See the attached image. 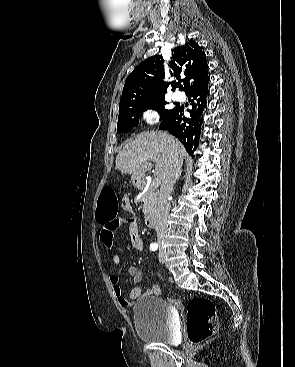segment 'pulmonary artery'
<instances>
[{
    "instance_id": "pulmonary-artery-1",
    "label": "pulmonary artery",
    "mask_w": 295,
    "mask_h": 367,
    "mask_svg": "<svg viewBox=\"0 0 295 367\" xmlns=\"http://www.w3.org/2000/svg\"><path fill=\"white\" fill-rule=\"evenodd\" d=\"M174 99L178 100V101H181V100L184 99V95L180 92H176V93H174Z\"/></svg>"
}]
</instances>
